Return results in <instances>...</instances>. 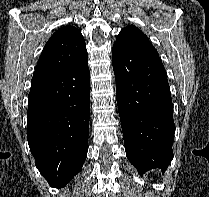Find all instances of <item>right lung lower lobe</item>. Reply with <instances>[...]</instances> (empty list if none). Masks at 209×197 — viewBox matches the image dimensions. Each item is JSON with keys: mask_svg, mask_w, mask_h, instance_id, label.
<instances>
[{"mask_svg": "<svg viewBox=\"0 0 209 197\" xmlns=\"http://www.w3.org/2000/svg\"><path fill=\"white\" fill-rule=\"evenodd\" d=\"M87 52L75 63L31 83L28 144L36 167L52 187H64L87 157L90 73Z\"/></svg>", "mask_w": 209, "mask_h": 197, "instance_id": "98d812e1", "label": "right lung lower lobe"}]
</instances>
